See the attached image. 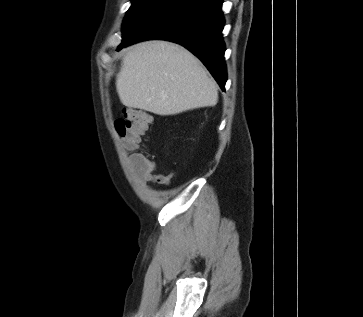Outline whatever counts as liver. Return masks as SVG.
<instances>
[{"mask_svg":"<svg viewBox=\"0 0 363 317\" xmlns=\"http://www.w3.org/2000/svg\"><path fill=\"white\" fill-rule=\"evenodd\" d=\"M121 103L157 115L217 104L218 90L200 61L166 41L139 43L126 52L116 78Z\"/></svg>","mask_w":363,"mask_h":317,"instance_id":"liver-1","label":"liver"}]
</instances>
